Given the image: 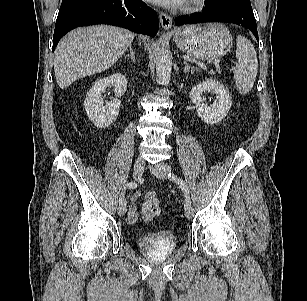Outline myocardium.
I'll list each match as a JSON object with an SVG mask.
<instances>
[{
  "label": "myocardium",
  "mask_w": 307,
  "mask_h": 301,
  "mask_svg": "<svg viewBox=\"0 0 307 301\" xmlns=\"http://www.w3.org/2000/svg\"><path fill=\"white\" fill-rule=\"evenodd\" d=\"M208 0H184L181 3V11L183 12H196L199 11L201 9H203L206 4H207Z\"/></svg>",
  "instance_id": "1"
}]
</instances>
